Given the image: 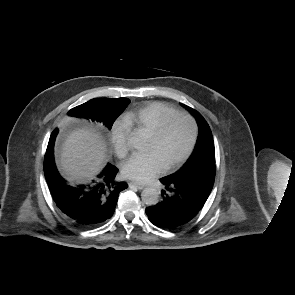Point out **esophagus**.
Listing matches in <instances>:
<instances>
[{"instance_id":"1","label":"esophagus","mask_w":295,"mask_h":295,"mask_svg":"<svg viewBox=\"0 0 295 295\" xmlns=\"http://www.w3.org/2000/svg\"><path fill=\"white\" fill-rule=\"evenodd\" d=\"M129 186H131V187H135V188H137V189H139V190H141V189H143V188L145 187L144 185L139 184V183H135V182H131V183H129Z\"/></svg>"}]
</instances>
